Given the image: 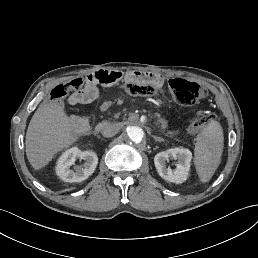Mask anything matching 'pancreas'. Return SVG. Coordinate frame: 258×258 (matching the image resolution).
I'll list each match as a JSON object with an SVG mask.
<instances>
[{
	"instance_id": "obj_1",
	"label": "pancreas",
	"mask_w": 258,
	"mask_h": 258,
	"mask_svg": "<svg viewBox=\"0 0 258 258\" xmlns=\"http://www.w3.org/2000/svg\"><path fill=\"white\" fill-rule=\"evenodd\" d=\"M159 123H160V125H161V126H163V127H164V126H166V125H167V123H168V122H167V120H166V119H164V118H163V119H161V120H160V122H159Z\"/></svg>"
}]
</instances>
